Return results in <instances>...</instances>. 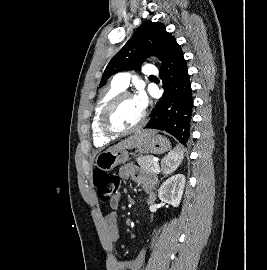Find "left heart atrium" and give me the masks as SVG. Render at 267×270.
<instances>
[{"label": "left heart atrium", "instance_id": "39dd6f15", "mask_svg": "<svg viewBox=\"0 0 267 270\" xmlns=\"http://www.w3.org/2000/svg\"><path fill=\"white\" fill-rule=\"evenodd\" d=\"M134 99L137 105L139 106V108L142 111H144L148 105V98H147L146 93L141 89L139 90V92L137 93Z\"/></svg>", "mask_w": 267, "mask_h": 270}]
</instances>
